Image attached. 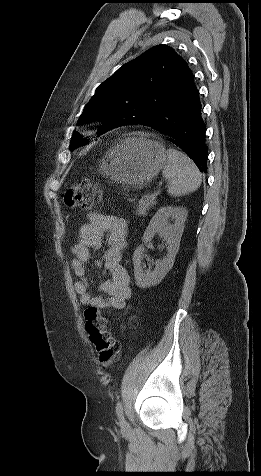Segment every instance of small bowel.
<instances>
[{"label": "small bowel", "instance_id": "c3829d8e", "mask_svg": "<svg viewBox=\"0 0 261 476\" xmlns=\"http://www.w3.org/2000/svg\"><path fill=\"white\" fill-rule=\"evenodd\" d=\"M88 218L89 223L80 227L78 239L71 247V265L77 276L74 289L83 305L98 310H122L132 295L130 276L121 265L127 244L128 222L122 217L97 212L90 213ZM103 243L107 248L97 264L105 269L109 278L100 285L103 295L95 296L89 290L86 266L91 251L99 249Z\"/></svg>", "mask_w": 261, "mask_h": 476}]
</instances>
